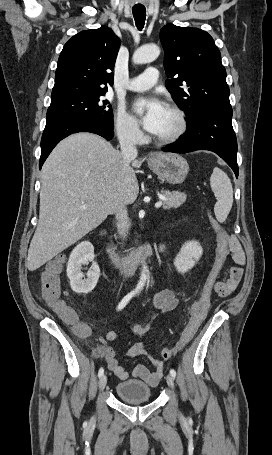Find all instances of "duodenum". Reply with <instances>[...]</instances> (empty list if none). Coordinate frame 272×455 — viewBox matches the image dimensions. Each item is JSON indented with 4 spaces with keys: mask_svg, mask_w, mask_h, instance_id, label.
I'll return each instance as SVG.
<instances>
[{
    "mask_svg": "<svg viewBox=\"0 0 272 455\" xmlns=\"http://www.w3.org/2000/svg\"><path fill=\"white\" fill-rule=\"evenodd\" d=\"M152 248L150 245H144L139 248L137 251L131 253L130 255L120 258L111 251H107L108 258L111 265L119 270L123 276H131L141 261L152 255Z\"/></svg>",
    "mask_w": 272,
    "mask_h": 455,
    "instance_id": "duodenum-1",
    "label": "duodenum"
}]
</instances>
